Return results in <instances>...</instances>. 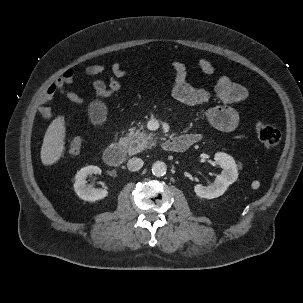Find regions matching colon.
I'll return each instance as SVG.
<instances>
[{
	"instance_id": "colon-1",
	"label": "colon",
	"mask_w": 303,
	"mask_h": 303,
	"mask_svg": "<svg viewBox=\"0 0 303 303\" xmlns=\"http://www.w3.org/2000/svg\"><path fill=\"white\" fill-rule=\"evenodd\" d=\"M113 93L106 91L105 94L100 97L101 99L108 98ZM252 128L259 138V140L267 147H276L281 142V133L275 127L256 121L253 123ZM82 146V138L79 135L74 136L68 146V157H75L79 154Z\"/></svg>"
}]
</instances>
